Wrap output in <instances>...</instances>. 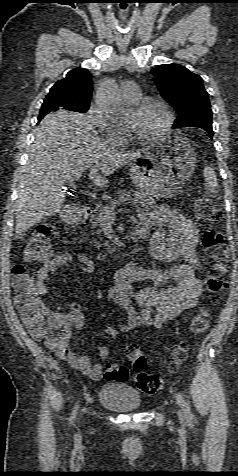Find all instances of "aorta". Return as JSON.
I'll return each instance as SVG.
<instances>
[{
	"instance_id": "aorta-1",
	"label": "aorta",
	"mask_w": 238,
	"mask_h": 476,
	"mask_svg": "<svg viewBox=\"0 0 238 476\" xmlns=\"http://www.w3.org/2000/svg\"><path fill=\"white\" fill-rule=\"evenodd\" d=\"M97 104L111 120H117L125 115L128 108L123 104L115 82L108 79L102 83L97 94Z\"/></svg>"
}]
</instances>
